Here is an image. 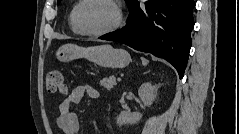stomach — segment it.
I'll return each instance as SVG.
<instances>
[{"mask_svg":"<svg viewBox=\"0 0 239 134\" xmlns=\"http://www.w3.org/2000/svg\"><path fill=\"white\" fill-rule=\"evenodd\" d=\"M56 57L61 62L86 58L90 62L104 68H124L131 61V57L127 51L113 48L108 44L90 47L66 44L58 48Z\"/></svg>","mask_w":239,"mask_h":134,"instance_id":"1","label":"stomach"}]
</instances>
